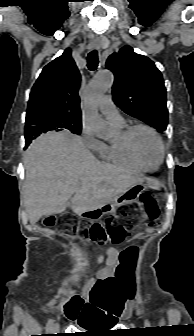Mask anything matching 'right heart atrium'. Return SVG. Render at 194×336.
I'll return each mask as SVG.
<instances>
[{"label": "right heart atrium", "mask_w": 194, "mask_h": 336, "mask_svg": "<svg viewBox=\"0 0 194 336\" xmlns=\"http://www.w3.org/2000/svg\"><path fill=\"white\" fill-rule=\"evenodd\" d=\"M82 139L85 144V146L92 150L97 152L102 144V142L97 139L89 130H87L85 127L82 130Z\"/></svg>", "instance_id": "obj_1"}]
</instances>
